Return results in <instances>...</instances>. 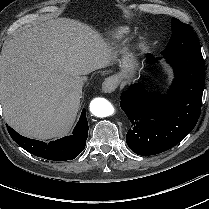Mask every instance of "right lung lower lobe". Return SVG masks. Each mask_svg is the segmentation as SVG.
<instances>
[{
    "label": "right lung lower lobe",
    "instance_id": "right-lung-lower-lobe-1",
    "mask_svg": "<svg viewBox=\"0 0 209 209\" xmlns=\"http://www.w3.org/2000/svg\"><path fill=\"white\" fill-rule=\"evenodd\" d=\"M7 129L12 139L29 153L47 160L65 161L76 158L83 151L89 127L86 110H83L72 135L49 143L21 136L9 126Z\"/></svg>",
    "mask_w": 209,
    "mask_h": 209
}]
</instances>
